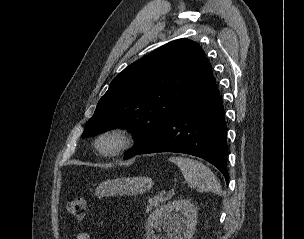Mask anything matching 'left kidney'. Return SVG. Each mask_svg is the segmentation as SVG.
<instances>
[{
  "instance_id": "left-kidney-1",
  "label": "left kidney",
  "mask_w": 304,
  "mask_h": 239,
  "mask_svg": "<svg viewBox=\"0 0 304 239\" xmlns=\"http://www.w3.org/2000/svg\"><path fill=\"white\" fill-rule=\"evenodd\" d=\"M196 223L197 208L190 200H174L161 206L148 217L146 239H162L160 235H154L152 230L160 227L168 232V239H192ZM180 232H183V236Z\"/></svg>"
}]
</instances>
